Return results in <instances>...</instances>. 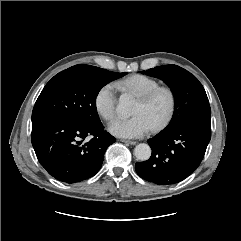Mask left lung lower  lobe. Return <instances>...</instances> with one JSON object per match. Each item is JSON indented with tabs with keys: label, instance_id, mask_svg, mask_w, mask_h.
I'll list each match as a JSON object with an SVG mask.
<instances>
[{
	"label": "left lung lower lobe",
	"instance_id": "0a47b994",
	"mask_svg": "<svg viewBox=\"0 0 241 241\" xmlns=\"http://www.w3.org/2000/svg\"><path fill=\"white\" fill-rule=\"evenodd\" d=\"M211 138V114L189 119L164 129L148 140L150 159L137 162L135 169L143 179L159 185L178 183L197 169Z\"/></svg>",
	"mask_w": 241,
	"mask_h": 241
}]
</instances>
